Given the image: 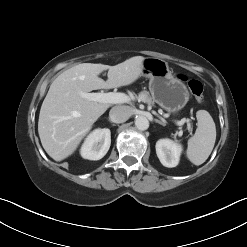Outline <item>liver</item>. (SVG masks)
<instances>
[{
	"mask_svg": "<svg viewBox=\"0 0 247 247\" xmlns=\"http://www.w3.org/2000/svg\"><path fill=\"white\" fill-rule=\"evenodd\" d=\"M144 57L135 56L115 66L82 63L61 73L42 103L38 133L43 148L55 161L70 156L109 103L89 101L81 92L112 89L134 83L142 76ZM108 70L104 81L99 74Z\"/></svg>",
	"mask_w": 247,
	"mask_h": 247,
	"instance_id": "obj_1",
	"label": "liver"
}]
</instances>
